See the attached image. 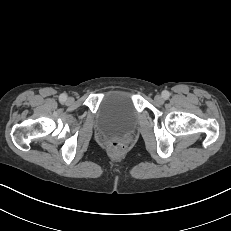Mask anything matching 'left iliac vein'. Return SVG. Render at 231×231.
<instances>
[{"label": "left iliac vein", "instance_id": "4c4485c4", "mask_svg": "<svg viewBox=\"0 0 231 231\" xmlns=\"http://www.w3.org/2000/svg\"><path fill=\"white\" fill-rule=\"evenodd\" d=\"M154 100H155L157 103L161 104V103H163L164 98H163L161 95H156L155 98H154Z\"/></svg>", "mask_w": 231, "mask_h": 231}]
</instances>
